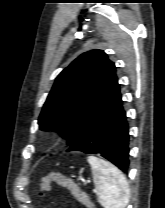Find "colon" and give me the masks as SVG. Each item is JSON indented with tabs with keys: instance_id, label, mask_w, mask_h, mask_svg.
<instances>
[{
	"instance_id": "1",
	"label": "colon",
	"mask_w": 165,
	"mask_h": 208,
	"mask_svg": "<svg viewBox=\"0 0 165 208\" xmlns=\"http://www.w3.org/2000/svg\"><path fill=\"white\" fill-rule=\"evenodd\" d=\"M57 183L58 185L68 189L73 197L84 204L88 208H93L88 195L71 179L59 174L51 173L46 175L41 182L40 190L41 192H46L49 190L51 183Z\"/></svg>"
}]
</instances>
